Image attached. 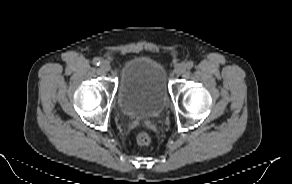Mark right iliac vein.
<instances>
[{"label": "right iliac vein", "instance_id": "obj_1", "mask_svg": "<svg viewBox=\"0 0 292 184\" xmlns=\"http://www.w3.org/2000/svg\"><path fill=\"white\" fill-rule=\"evenodd\" d=\"M100 67L103 71H106V72L110 70V64L106 60L101 62Z\"/></svg>", "mask_w": 292, "mask_h": 184}]
</instances>
